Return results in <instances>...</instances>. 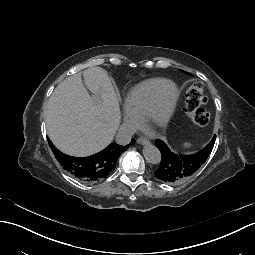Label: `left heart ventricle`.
<instances>
[{
    "label": "left heart ventricle",
    "mask_w": 255,
    "mask_h": 255,
    "mask_svg": "<svg viewBox=\"0 0 255 255\" xmlns=\"http://www.w3.org/2000/svg\"><path fill=\"white\" fill-rule=\"evenodd\" d=\"M169 96H170V88L168 87V88L166 89V94H165V98H164L165 102L168 101Z\"/></svg>",
    "instance_id": "b2bd125f"
}]
</instances>
